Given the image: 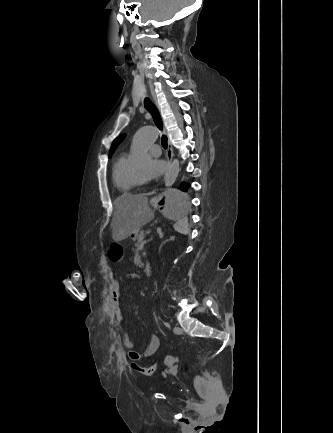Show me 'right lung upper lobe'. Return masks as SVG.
<instances>
[{
  "label": "right lung upper lobe",
  "mask_w": 333,
  "mask_h": 433,
  "mask_svg": "<svg viewBox=\"0 0 333 433\" xmlns=\"http://www.w3.org/2000/svg\"><path fill=\"white\" fill-rule=\"evenodd\" d=\"M125 136H126L125 134L121 135V136L117 137L113 141L111 149H110V155H109V157H111L112 153L115 151V149L117 148V146L119 145V143L125 138Z\"/></svg>",
  "instance_id": "cb5924a9"
}]
</instances>
